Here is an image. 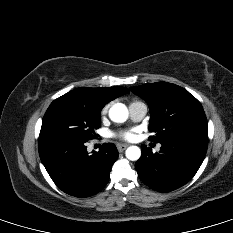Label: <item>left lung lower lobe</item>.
Wrapping results in <instances>:
<instances>
[{
    "mask_svg": "<svg viewBox=\"0 0 233 233\" xmlns=\"http://www.w3.org/2000/svg\"><path fill=\"white\" fill-rule=\"evenodd\" d=\"M161 144L159 153L155 154L142 145V155L135 168L147 186L158 192H170L194 177L204 160L208 140L187 138Z\"/></svg>",
    "mask_w": 233,
    "mask_h": 233,
    "instance_id": "left-lung-lower-lobe-1",
    "label": "left lung lower lobe"
}]
</instances>
